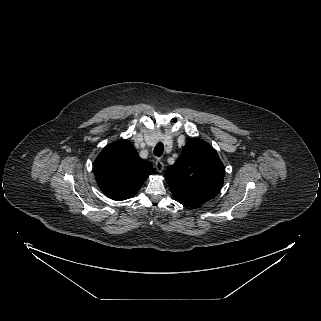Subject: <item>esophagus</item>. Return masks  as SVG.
<instances>
[{
    "label": "esophagus",
    "instance_id": "esophagus-1",
    "mask_svg": "<svg viewBox=\"0 0 321 321\" xmlns=\"http://www.w3.org/2000/svg\"><path fill=\"white\" fill-rule=\"evenodd\" d=\"M155 168L157 172L161 173L164 170V163L161 160L157 159L155 162Z\"/></svg>",
    "mask_w": 321,
    "mask_h": 321
}]
</instances>
